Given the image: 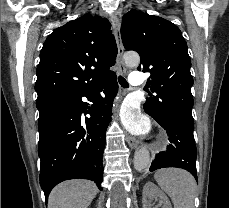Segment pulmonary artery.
Listing matches in <instances>:
<instances>
[{
  "label": "pulmonary artery",
  "mask_w": 229,
  "mask_h": 208,
  "mask_svg": "<svg viewBox=\"0 0 229 208\" xmlns=\"http://www.w3.org/2000/svg\"><path fill=\"white\" fill-rule=\"evenodd\" d=\"M137 77H145V72H134L130 77L129 81L133 87H142V83L144 82L143 78Z\"/></svg>",
  "instance_id": "obj_1"
}]
</instances>
